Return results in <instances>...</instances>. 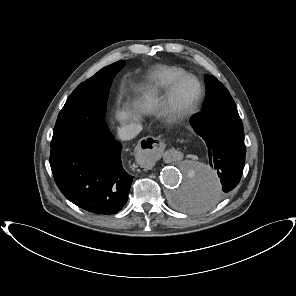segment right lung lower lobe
Segmentation results:
<instances>
[{"mask_svg": "<svg viewBox=\"0 0 296 296\" xmlns=\"http://www.w3.org/2000/svg\"><path fill=\"white\" fill-rule=\"evenodd\" d=\"M121 144L112 134L75 148L51 149L50 166L62 194L95 214H116L127 201L133 176L122 167Z\"/></svg>", "mask_w": 296, "mask_h": 296, "instance_id": "1", "label": "right lung lower lobe"}]
</instances>
